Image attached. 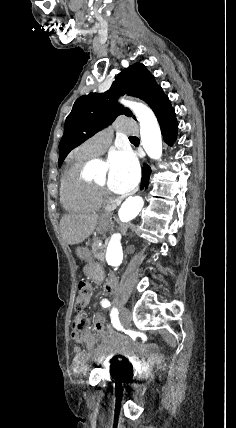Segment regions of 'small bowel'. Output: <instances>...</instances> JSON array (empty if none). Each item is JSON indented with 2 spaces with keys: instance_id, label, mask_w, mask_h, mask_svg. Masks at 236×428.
<instances>
[{
  "instance_id": "c3829d8e",
  "label": "small bowel",
  "mask_w": 236,
  "mask_h": 428,
  "mask_svg": "<svg viewBox=\"0 0 236 428\" xmlns=\"http://www.w3.org/2000/svg\"><path fill=\"white\" fill-rule=\"evenodd\" d=\"M105 290L109 293L117 291L116 279L108 278ZM71 337L75 342V362L81 360H103L105 358L121 357L123 360L134 363L139 367H148L162 361V355L154 344L134 342L127 337L105 330L103 326L97 327L84 320L81 332L72 331ZM80 344L85 346L80 348Z\"/></svg>"
}]
</instances>
